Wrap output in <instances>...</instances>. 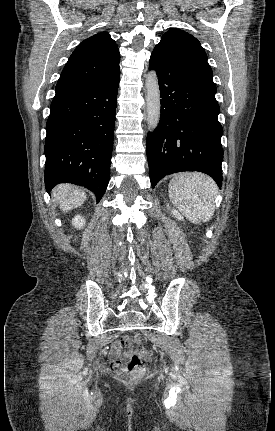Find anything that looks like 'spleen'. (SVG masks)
<instances>
[{
  "mask_svg": "<svg viewBox=\"0 0 275 431\" xmlns=\"http://www.w3.org/2000/svg\"><path fill=\"white\" fill-rule=\"evenodd\" d=\"M168 187L171 202L190 222L200 224L211 220L218 194L211 177L199 172L179 173Z\"/></svg>",
  "mask_w": 275,
  "mask_h": 431,
  "instance_id": "1",
  "label": "spleen"
}]
</instances>
